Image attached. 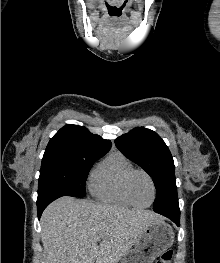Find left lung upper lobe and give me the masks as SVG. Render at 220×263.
<instances>
[{
	"label": "left lung upper lobe",
	"mask_w": 220,
	"mask_h": 263,
	"mask_svg": "<svg viewBox=\"0 0 220 263\" xmlns=\"http://www.w3.org/2000/svg\"><path fill=\"white\" fill-rule=\"evenodd\" d=\"M115 144L153 178L156 187L154 211L179 210L174 161L160 136L150 129L136 127L118 137Z\"/></svg>",
	"instance_id": "1"
}]
</instances>
